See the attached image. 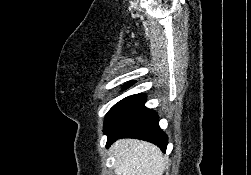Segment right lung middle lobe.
I'll return each mask as SVG.
<instances>
[{"label":"right lung middle lobe","instance_id":"dd1d6c3e","mask_svg":"<svg viewBox=\"0 0 251 175\" xmlns=\"http://www.w3.org/2000/svg\"><path fill=\"white\" fill-rule=\"evenodd\" d=\"M127 85L130 86V85H132V83H128Z\"/></svg>","mask_w":251,"mask_h":175}]
</instances>
